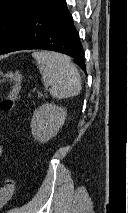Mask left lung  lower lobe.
<instances>
[{"label": "left lung lower lobe", "mask_w": 128, "mask_h": 213, "mask_svg": "<svg viewBox=\"0 0 128 213\" xmlns=\"http://www.w3.org/2000/svg\"><path fill=\"white\" fill-rule=\"evenodd\" d=\"M27 49L67 54L86 71L79 34L65 0H39L1 54Z\"/></svg>", "instance_id": "0a47b994"}]
</instances>
